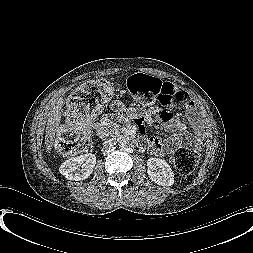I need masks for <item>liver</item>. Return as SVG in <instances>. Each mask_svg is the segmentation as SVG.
<instances>
[{
	"label": "liver",
	"mask_w": 253,
	"mask_h": 253,
	"mask_svg": "<svg viewBox=\"0 0 253 253\" xmlns=\"http://www.w3.org/2000/svg\"><path fill=\"white\" fill-rule=\"evenodd\" d=\"M62 106L63 99L59 98L57 102L53 104V107L51 109L45 134V145L47 150H51L54 145L55 135L59 130Z\"/></svg>",
	"instance_id": "liver-1"
}]
</instances>
